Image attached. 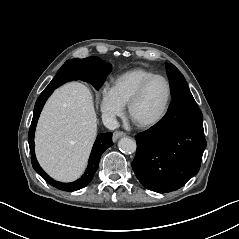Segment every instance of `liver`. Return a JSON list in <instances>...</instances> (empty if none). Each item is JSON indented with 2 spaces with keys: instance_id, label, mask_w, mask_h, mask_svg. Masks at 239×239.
I'll list each match as a JSON object with an SVG mask.
<instances>
[{
  "instance_id": "6515ba94",
  "label": "liver",
  "mask_w": 239,
  "mask_h": 239,
  "mask_svg": "<svg viewBox=\"0 0 239 239\" xmlns=\"http://www.w3.org/2000/svg\"><path fill=\"white\" fill-rule=\"evenodd\" d=\"M96 136V117L88 89L69 83L55 91L46 103L36 131V154L41 166L54 178L78 177Z\"/></svg>"
}]
</instances>
